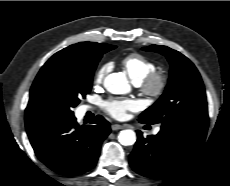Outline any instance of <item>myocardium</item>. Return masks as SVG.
Listing matches in <instances>:
<instances>
[{
  "label": "myocardium",
  "mask_w": 230,
  "mask_h": 186,
  "mask_svg": "<svg viewBox=\"0 0 230 186\" xmlns=\"http://www.w3.org/2000/svg\"><path fill=\"white\" fill-rule=\"evenodd\" d=\"M140 86L146 97L157 99L164 94L168 86V77L163 72L153 71L143 79Z\"/></svg>",
  "instance_id": "1"
}]
</instances>
